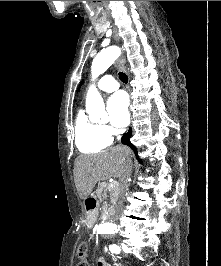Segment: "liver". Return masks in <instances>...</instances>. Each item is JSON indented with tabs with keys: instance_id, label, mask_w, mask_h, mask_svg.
I'll return each instance as SVG.
<instances>
[{
	"instance_id": "obj_1",
	"label": "liver",
	"mask_w": 221,
	"mask_h": 266,
	"mask_svg": "<svg viewBox=\"0 0 221 266\" xmlns=\"http://www.w3.org/2000/svg\"><path fill=\"white\" fill-rule=\"evenodd\" d=\"M130 154L128 147L117 146L101 153L77 157L74 163V181L79 197L87 199L100 180L111 177L120 179Z\"/></svg>"
}]
</instances>
